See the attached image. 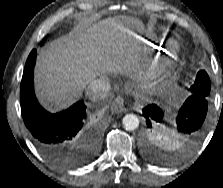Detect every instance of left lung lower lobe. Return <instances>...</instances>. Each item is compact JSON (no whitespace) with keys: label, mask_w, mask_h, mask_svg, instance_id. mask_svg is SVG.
<instances>
[{"label":"left lung lower lobe","mask_w":223,"mask_h":188,"mask_svg":"<svg viewBox=\"0 0 223 188\" xmlns=\"http://www.w3.org/2000/svg\"><path fill=\"white\" fill-rule=\"evenodd\" d=\"M160 102V101H159ZM208 109L207 98L190 95L176 117V126L170 131L183 141L186 148H191L202 132ZM146 128L160 126L163 121V110L155 103L143 108Z\"/></svg>","instance_id":"1"}]
</instances>
